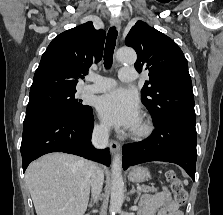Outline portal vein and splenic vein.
I'll list each match as a JSON object with an SVG mask.
<instances>
[{"label": "portal vein and splenic vein", "mask_w": 223, "mask_h": 215, "mask_svg": "<svg viewBox=\"0 0 223 215\" xmlns=\"http://www.w3.org/2000/svg\"><path fill=\"white\" fill-rule=\"evenodd\" d=\"M135 189H139L140 190V189H142V186H140V185L139 186H135ZM70 199H75V197H70Z\"/></svg>", "instance_id": "1"}]
</instances>
